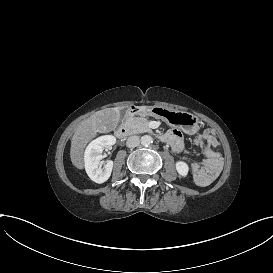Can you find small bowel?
<instances>
[{
    "instance_id": "1",
    "label": "small bowel",
    "mask_w": 273,
    "mask_h": 273,
    "mask_svg": "<svg viewBox=\"0 0 273 273\" xmlns=\"http://www.w3.org/2000/svg\"><path fill=\"white\" fill-rule=\"evenodd\" d=\"M162 138L165 142L172 144L173 149L178 153H183L185 151V146L181 144L184 141V133L180 129H173L172 131L165 133ZM199 141L207 142L208 146L205 148L206 155L215 154L220 158L219 154L211 148V146L216 144V139L212 130L204 129L199 136ZM192 170L194 172V175H196L200 171L198 166H193Z\"/></svg>"
}]
</instances>
